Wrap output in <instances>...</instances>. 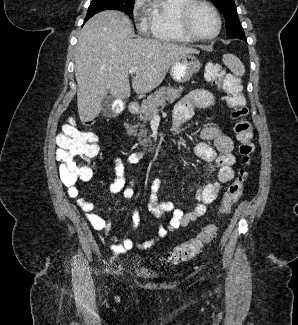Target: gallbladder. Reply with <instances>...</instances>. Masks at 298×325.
Masks as SVG:
<instances>
[{
    "instance_id": "gallbladder-1",
    "label": "gallbladder",
    "mask_w": 298,
    "mask_h": 325,
    "mask_svg": "<svg viewBox=\"0 0 298 325\" xmlns=\"http://www.w3.org/2000/svg\"><path fill=\"white\" fill-rule=\"evenodd\" d=\"M115 98L113 96H106L101 102V114L103 116H115L116 112L113 108Z\"/></svg>"
}]
</instances>
